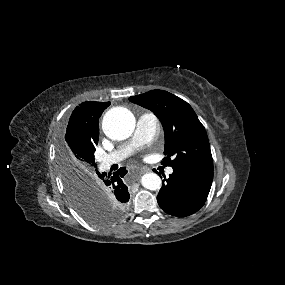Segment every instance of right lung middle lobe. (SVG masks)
Returning a JSON list of instances; mask_svg holds the SVG:
<instances>
[{
    "label": "right lung middle lobe",
    "mask_w": 285,
    "mask_h": 285,
    "mask_svg": "<svg viewBox=\"0 0 285 285\" xmlns=\"http://www.w3.org/2000/svg\"><path fill=\"white\" fill-rule=\"evenodd\" d=\"M58 165L69 200L85 220L104 226L114 223L124 214L125 208L110 196L108 200L100 197V191L92 181L96 177L95 168L97 167L93 153L71 156L66 145H60Z\"/></svg>",
    "instance_id": "right-lung-middle-lobe-1"
}]
</instances>
